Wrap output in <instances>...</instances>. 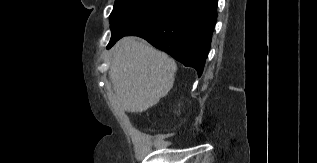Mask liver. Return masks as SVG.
<instances>
[{
  "instance_id": "6515ba94",
  "label": "liver",
  "mask_w": 317,
  "mask_h": 163,
  "mask_svg": "<svg viewBox=\"0 0 317 163\" xmlns=\"http://www.w3.org/2000/svg\"><path fill=\"white\" fill-rule=\"evenodd\" d=\"M175 61L134 37H124L113 48L109 79L114 106L141 113L156 105L173 87Z\"/></svg>"
}]
</instances>
